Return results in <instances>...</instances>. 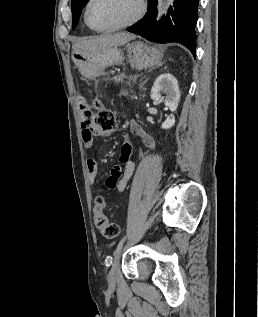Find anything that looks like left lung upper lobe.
Listing matches in <instances>:
<instances>
[{
    "mask_svg": "<svg viewBox=\"0 0 258 317\" xmlns=\"http://www.w3.org/2000/svg\"><path fill=\"white\" fill-rule=\"evenodd\" d=\"M88 1L89 0H71V11L73 15V21H72L73 29H75L78 23L81 11Z\"/></svg>",
    "mask_w": 258,
    "mask_h": 317,
    "instance_id": "5c2ea615",
    "label": "left lung upper lobe"
}]
</instances>
